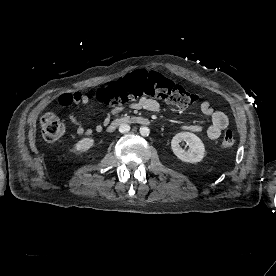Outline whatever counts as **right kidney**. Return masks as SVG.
<instances>
[{
    "instance_id": "1",
    "label": "right kidney",
    "mask_w": 276,
    "mask_h": 276,
    "mask_svg": "<svg viewBox=\"0 0 276 276\" xmlns=\"http://www.w3.org/2000/svg\"><path fill=\"white\" fill-rule=\"evenodd\" d=\"M94 144V139L92 138H83L75 144V150L78 152H86Z\"/></svg>"
}]
</instances>
